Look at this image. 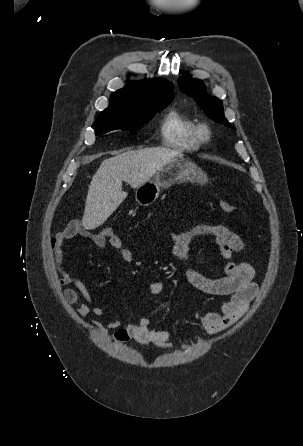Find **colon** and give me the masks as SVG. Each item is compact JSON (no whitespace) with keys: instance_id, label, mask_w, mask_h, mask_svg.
<instances>
[{"instance_id":"obj_1","label":"colon","mask_w":303,"mask_h":446,"mask_svg":"<svg viewBox=\"0 0 303 446\" xmlns=\"http://www.w3.org/2000/svg\"><path fill=\"white\" fill-rule=\"evenodd\" d=\"M219 206L223 212L229 213V214L233 213L236 210V207L233 204H231L227 201H223V200L219 202ZM102 234H103V236L108 237V238L113 237L115 235L112 228H105L102 231Z\"/></svg>"}]
</instances>
